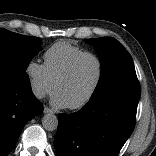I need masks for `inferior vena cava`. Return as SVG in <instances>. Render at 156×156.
Listing matches in <instances>:
<instances>
[{"mask_svg":"<svg viewBox=\"0 0 156 156\" xmlns=\"http://www.w3.org/2000/svg\"><path fill=\"white\" fill-rule=\"evenodd\" d=\"M33 90V93L34 95L37 97V98H43L45 96V90L42 89L41 87H38V86H34L32 88Z\"/></svg>","mask_w":156,"mask_h":156,"instance_id":"inferior-vena-cava-1","label":"inferior vena cava"}]
</instances>
